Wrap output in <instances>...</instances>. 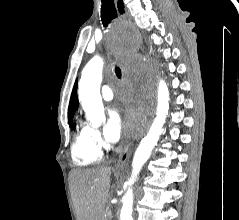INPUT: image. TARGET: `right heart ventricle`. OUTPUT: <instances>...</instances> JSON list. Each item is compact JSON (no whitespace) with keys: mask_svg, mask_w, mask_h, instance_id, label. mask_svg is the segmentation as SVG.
<instances>
[{"mask_svg":"<svg viewBox=\"0 0 239 220\" xmlns=\"http://www.w3.org/2000/svg\"><path fill=\"white\" fill-rule=\"evenodd\" d=\"M101 151L90 139V127L78 122L75 138L71 147V158L76 166L85 167L98 163L101 160Z\"/></svg>","mask_w":239,"mask_h":220,"instance_id":"obj_1","label":"right heart ventricle"}]
</instances>
